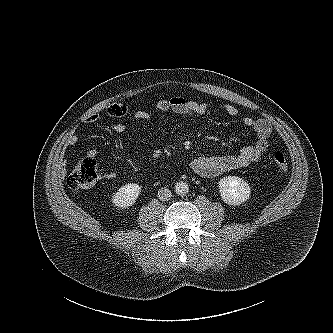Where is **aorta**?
I'll use <instances>...</instances> for the list:
<instances>
[{"label": "aorta", "mask_w": 333, "mask_h": 333, "mask_svg": "<svg viewBox=\"0 0 333 333\" xmlns=\"http://www.w3.org/2000/svg\"><path fill=\"white\" fill-rule=\"evenodd\" d=\"M175 192L180 196L186 195L189 192L188 184L183 181L177 182L175 184Z\"/></svg>", "instance_id": "aorta-1"}]
</instances>
